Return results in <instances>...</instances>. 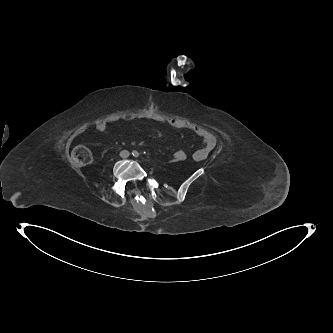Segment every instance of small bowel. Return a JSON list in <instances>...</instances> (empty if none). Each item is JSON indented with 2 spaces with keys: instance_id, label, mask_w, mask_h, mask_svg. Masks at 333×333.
I'll return each instance as SVG.
<instances>
[{
  "instance_id": "small-bowel-1",
  "label": "small bowel",
  "mask_w": 333,
  "mask_h": 333,
  "mask_svg": "<svg viewBox=\"0 0 333 333\" xmlns=\"http://www.w3.org/2000/svg\"><path fill=\"white\" fill-rule=\"evenodd\" d=\"M142 119L153 120L155 122L163 124L167 123L176 129H187L195 133L198 137H200L203 141V146L192 154V158L194 161L200 162L206 160L209 154L215 148L216 145L215 135L206 128H204L203 126L189 122L187 120L167 119L161 115H151V114H135L129 116L126 120L134 121ZM108 125H109L108 121L99 120L96 122L95 128L98 132H105L108 129ZM183 152L187 155L185 151Z\"/></svg>"
}]
</instances>
